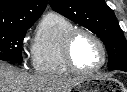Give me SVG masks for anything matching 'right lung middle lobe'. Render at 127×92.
<instances>
[{
    "instance_id": "1",
    "label": "right lung middle lobe",
    "mask_w": 127,
    "mask_h": 92,
    "mask_svg": "<svg viewBox=\"0 0 127 92\" xmlns=\"http://www.w3.org/2000/svg\"><path fill=\"white\" fill-rule=\"evenodd\" d=\"M31 26L0 28V60L22 62V42Z\"/></svg>"
}]
</instances>
